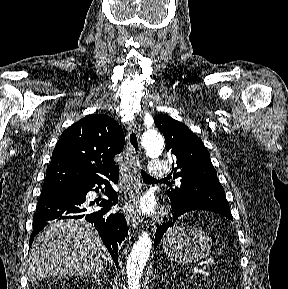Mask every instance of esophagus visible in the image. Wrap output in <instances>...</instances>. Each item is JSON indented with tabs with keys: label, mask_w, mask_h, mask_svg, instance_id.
<instances>
[{
	"label": "esophagus",
	"mask_w": 288,
	"mask_h": 289,
	"mask_svg": "<svg viewBox=\"0 0 288 289\" xmlns=\"http://www.w3.org/2000/svg\"><path fill=\"white\" fill-rule=\"evenodd\" d=\"M140 154V141L137 126L135 122L128 125L127 132V155L123 163V180L127 183V189L124 192V213L128 225L137 229L139 218L135 210L136 200L132 190L133 181L137 174V160Z\"/></svg>",
	"instance_id": "obj_1"
}]
</instances>
